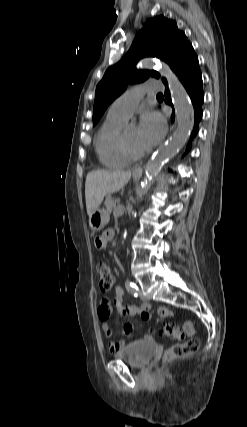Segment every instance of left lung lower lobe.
I'll list each match as a JSON object with an SVG mask.
<instances>
[{"mask_svg":"<svg viewBox=\"0 0 247 427\" xmlns=\"http://www.w3.org/2000/svg\"><path fill=\"white\" fill-rule=\"evenodd\" d=\"M178 77L188 92L190 99L192 101L194 111H195V126L193 129L191 140L196 136L198 132V124L202 118V104L204 102V93L202 90V75L199 68L198 57H194L190 60L178 73ZM166 91H165V103L171 105L173 107L170 92L168 90V85L165 83ZM172 120H174V111L171 116ZM191 140L186 148V152L190 150Z\"/></svg>","mask_w":247,"mask_h":427,"instance_id":"obj_1","label":"left lung lower lobe"}]
</instances>
